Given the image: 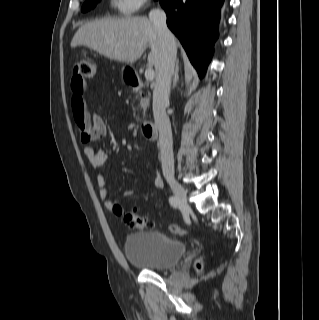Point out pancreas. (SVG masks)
I'll return each instance as SVG.
<instances>
[{"label":"pancreas","mask_w":319,"mask_h":320,"mask_svg":"<svg viewBox=\"0 0 319 320\" xmlns=\"http://www.w3.org/2000/svg\"><path fill=\"white\" fill-rule=\"evenodd\" d=\"M140 106L143 109V116H145V112L147 110V108L149 107V98L148 97H144L140 99Z\"/></svg>","instance_id":"1"}]
</instances>
